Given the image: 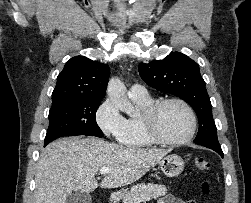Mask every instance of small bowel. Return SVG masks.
<instances>
[{
	"label": "small bowel",
	"instance_id": "c3829d8e",
	"mask_svg": "<svg viewBox=\"0 0 251 203\" xmlns=\"http://www.w3.org/2000/svg\"><path fill=\"white\" fill-rule=\"evenodd\" d=\"M157 203H195L193 201H182L179 198L173 196V195H165L161 197Z\"/></svg>",
	"mask_w": 251,
	"mask_h": 203
}]
</instances>
